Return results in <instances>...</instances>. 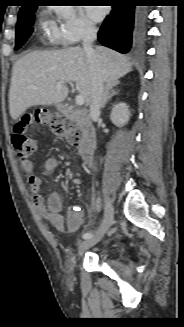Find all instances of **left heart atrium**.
<instances>
[{"label":"left heart atrium","mask_w":184,"mask_h":327,"mask_svg":"<svg viewBox=\"0 0 184 327\" xmlns=\"http://www.w3.org/2000/svg\"><path fill=\"white\" fill-rule=\"evenodd\" d=\"M87 13L93 21H100L105 14V9L102 7H90Z\"/></svg>","instance_id":"obj_1"}]
</instances>
